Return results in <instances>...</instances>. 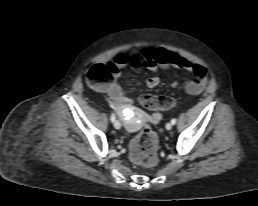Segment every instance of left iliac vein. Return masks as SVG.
Masks as SVG:
<instances>
[{
	"label": "left iliac vein",
	"mask_w": 258,
	"mask_h": 206,
	"mask_svg": "<svg viewBox=\"0 0 258 206\" xmlns=\"http://www.w3.org/2000/svg\"><path fill=\"white\" fill-rule=\"evenodd\" d=\"M172 125H173L172 123H167L165 127H166L167 130H171Z\"/></svg>",
	"instance_id": "obj_1"
}]
</instances>
